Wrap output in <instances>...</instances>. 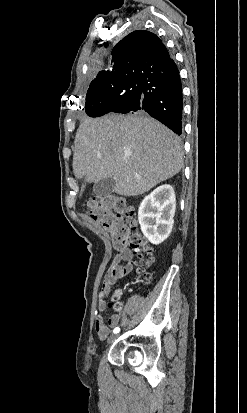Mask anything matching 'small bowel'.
<instances>
[{
	"label": "small bowel",
	"mask_w": 247,
	"mask_h": 413,
	"mask_svg": "<svg viewBox=\"0 0 247 413\" xmlns=\"http://www.w3.org/2000/svg\"><path fill=\"white\" fill-rule=\"evenodd\" d=\"M134 268V256L129 249L121 250L113 258L101 284L98 296V311L102 313L106 309L107 299L112 291L113 285L117 280L127 276ZM121 292L116 291L113 298H120ZM120 322L119 315H112L109 318L108 325L105 324L103 317L99 315L94 324L95 332L101 339H106L110 334L109 327H117Z\"/></svg>",
	"instance_id": "1"
}]
</instances>
